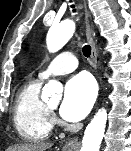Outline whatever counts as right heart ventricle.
Masks as SVG:
<instances>
[{"label": "right heart ventricle", "instance_id": "obj_1", "mask_svg": "<svg viewBox=\"0 0 131 151\" xmlns=\"http://www.w3.org/2000/svg\"><path fill=\"white\" fill-rule=\"evenodd\" d=\"M41 80L26 83L18 92L14 107V125L26 141L46 140L53 128L48 106L40 98Z\"/></svg>", "mask_w": 131, "mask_h": 151}]
</instances>
